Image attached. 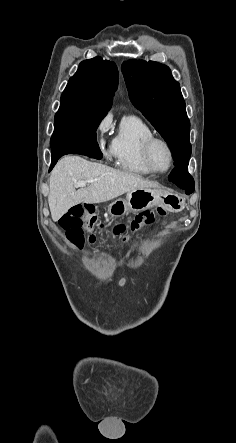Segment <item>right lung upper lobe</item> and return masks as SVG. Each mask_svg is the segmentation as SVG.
Returning <instances> with one entry per match:
<instances>
[{
    "label": "right lung upper lobe",
    "instance_id": "cb5924a9",
    "mask_svg": "<svg viewBox=\"0 0 236 443\" xmlns=\"http://www.w3.org/2000/svg\"><path fill=\"white\" fill-rule=\"evenodd\" d=\"M118 86L114 62L101 57L84 60L61 95L62 109L80 112H106Z\"/></svg>",
    "mask_w": 236,
    "mask_h": 443
}]
</instances>
